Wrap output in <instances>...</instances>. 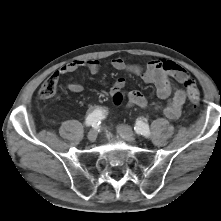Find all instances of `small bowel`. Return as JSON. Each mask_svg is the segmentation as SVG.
<instances>
[{
  "instance_id": "c3829d8e",
  "label": "small bowel",
  "mask_w": 221,
  "mask_h": 221,
  "mask_svg": "<svg viewBox=\"0 0 221 221\" xmlns=\"http://www.w3.org/2000/svg\"><path fill=\"white\" fill-rule=\"evenodd\" d=\"M111 65L116 70L137 74L145 83L152 84L155 87L156 95L160 99H167V104L164 107L165 115L170 119H176L180 116L188 95L185 89L173 86L171 77L182 84L185 79L190 78L180 65L166 59H155L141 67L128 64L120 57L114 58ZM80 67H86L91 74H97L101 69V64L93 59L77 60L62 66L53 73V76L59 79L61 76L75 72ZM124 86V78H118L112 84L110 93L113 95L117 91H122ZM66 87L72 93H79L83 90L82 85L76 81L68 82ZM126 99L128 107L147 108L149 105L146 97L137 90L127 92Z\"/></svg>"
}]
</instances>
